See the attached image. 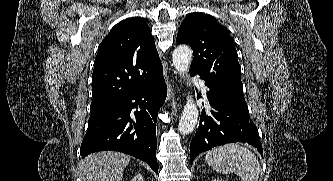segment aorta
<instances>
[{
  "label": "aorta",
  "mask_w": 333,
  "mask_h": 181,
  "mask_svg": "<svg viewBox=\"0 0 333 181\" xmlns=\"http://www.w3.org/2000/svg\"><path fill=\"white\" fill-rule=\"evenodd\" d=\"M173 65L181 76L188 72L192 61V50L186 45L176 47L172 54ZM199 112L194 100L187 98L186 105L181 113L178 130L182 135L191 133L198 121Z\"/></svg>",
  "instance_id": "762f6f07"
}]
</instances>
